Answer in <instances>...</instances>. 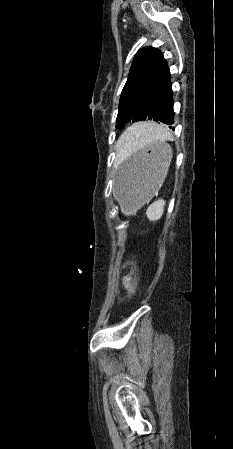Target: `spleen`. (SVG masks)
Here are the masks:
<instances>
[{
  "label": "spleen",
  "mask_w": 233,
  "mask_h": 449,
  "mask_svg": "<svg viewBox=\"0 0 233 449\" xmlns=\"http://www.w3.org/2000/svg\"><path fill=\"white\" fill-rule=\"evenodd\" d=\"M166 132V125H139L134 124L120 139L119 154L124 155L135 147L151 142H162ZM165 201L160 199L153 202L147 209L146 215L150 221L161 218L164 212Z\"/></svg>",
  "instance_id": "spleen-1"
}]
</instances>
